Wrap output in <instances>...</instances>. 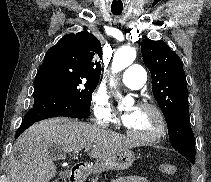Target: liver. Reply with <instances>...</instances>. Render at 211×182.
Masks as SVG:
<instances>
[{"mask_svg": "<svg viewBox=\"0 0 211 182\" xmlns=\"http://www.w3.org/2000/svg\"><path fill=\"white\" fill-rule=\"evenodd\" d=\"M52 145H58L62 153L93 146L89 156L107 160L135 147L136 143L113 131L71 118L43 120L29 127L15 142L9 182H49L55 177V158L48 154Z\"/></svg>", "mask_w": 211, "mask_h": 182, "instance_id": "obj_1", "label": "liver"}]
</instances>
